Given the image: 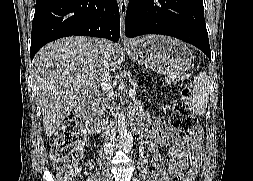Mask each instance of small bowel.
Instances as JSON below:
<instances>
[{
	"label": "small bowel",
	"mask_w": 253,
	"mask_h": 181,
	"mask_svg": "<svg viewBox=\"0 0 253 181\" xmlns=\"http://www.w3.org/2000/svg\"><path fill=\"white\" fill-rule=\"evenodd\" d=\"M168 155L165 164L161 151ZM146 151L151 155V162L156 170L153 181H170L171 176L179 172L181 166L190 163V169L184 173L183 181H192L203 159V148L200 135L190 139H180L174 130L164 128L162 120H158L146 143Z\"/></svg>",
	"instance_id": "1"
}]
</instances>
